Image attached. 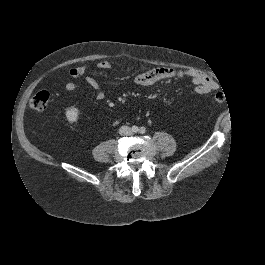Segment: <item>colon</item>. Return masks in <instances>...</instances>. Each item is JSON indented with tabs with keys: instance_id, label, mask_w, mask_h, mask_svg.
<instances>
[{
	"instance_id": "obj_1",
	"label": "colon",
	"mask_w": 265,
	"mask_h": 265,
	"mask_svg": "<svg viewBox=\"0 0 265 265\" xmlns=\"http://www.w3.org/2000/svg\"><path fill=\"white\" fill-rule=\"evenodd\" d=\"M214 99L218 103H223L226 100V96L223 92H217L214 95ZM49 101H50V93L46 90H41L32 96L30 100V106L34 110L40 112L46 109Z\"/></svg>"
}]
</instances>
